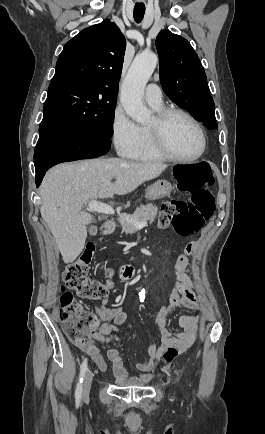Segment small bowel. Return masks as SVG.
Wrapping results in <instances>:
<instances>
[{"instance_id":"small-bowel-1","label":"small bowel","mask_w":265,"mask_h":434,"mask_svg":"<svg viewBox=\"0 0 265 434\" xmlns=\"http://www.w3.org/2000/svg\"><path fill=\"white\" fill-rule=\"evenodd\" d=\"M194 243L186 245L184 250L178 255L173 266L174 283L169 289L166 302L162 305L154 318L155 340L149 342L144 350L142 359L136 364L137 374L129 373L124 367L119 345L110 346L107 350V358L112 364L117 387H141L142 378L145 380L151 376V371L156 361L166 350L167 340H178L179 352L183 353L191 348L197 341L200 333L201 316L183 314L179 317L178 323L182 331H171L166 327L169 314L175 309L196 310L199 308V298L195 293V282L186 273L190 264ZM148 286H138L136 291L140 294L147 292ZM99 316L103 323L95 330L87 344L86 351L94 359L97 365L103 362L100 354L101 345H110L112 342H120V327L130 326L127 312L123 308H109L107 301L94 312Z\"/></svg>"}]
</instances>
